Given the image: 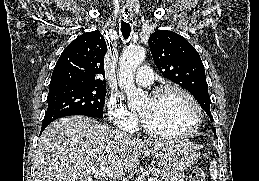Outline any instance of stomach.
<instances>
[{
    "instance_id": "stomach-1",
    "label": "stomach",
    "mask_w": 259,
    "mask_h": 181,
    "mask_svg": "<svg viewBox=\"0 0 259 181\" xmlns=\"http://www.w3.org/2000/svg\"><path fill=\"white\" fill-rule=\"evenodd\" d=\"M158 157L161 167L182 172L198 161L200 150L189 141H169L161 148Z\"/></svg>"
}]
</instances>
